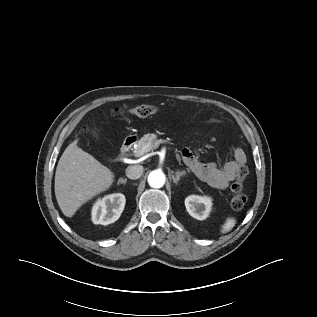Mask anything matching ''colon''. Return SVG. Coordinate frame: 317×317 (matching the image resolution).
Segmentation results:
<instances>
[{"label": "colon", "instance_id": "1", "mask_svg": "<svg viewBox=\"0 0 317 317\" xmlns=\"http://www.w3.org/2000/svg\"><path fill=\"white\" fill-rule=\"evenodd\" d=\"M157 110V107L154 105L144 104L129 109L127 113L142 118L155 114ZM247 174L248 170L246 166L241 167L237 180L231 186V207L236 211L243 209L247 202V196L243 188V181Z\"/></svg>", "mask_w": 317, "mask_h": 317}]
</instances>
